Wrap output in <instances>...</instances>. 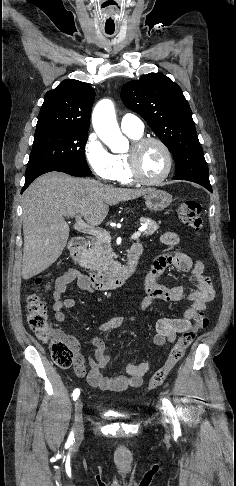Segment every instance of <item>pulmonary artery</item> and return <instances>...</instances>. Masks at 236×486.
<instances>
[{
  "label": "pulmonary artery",
  "instance_id": "e3ab8cb5",
  "mask_svg": "<svg viewBox=\"0 0 236 486\" xmlns=\"http://www.w3.org/2000/svg\"><path fill=\"white\" fill-rule=\"evenodd\" d=\"M121 129L124 133L141 135L144 131L143 121L134 114H125L120 121Z\"/></svg>",
  "mask_w": 236,
  "mask_h": 486
}]
</instances>
